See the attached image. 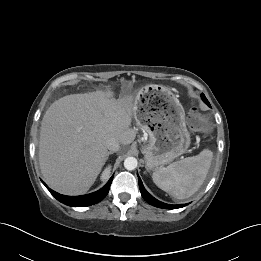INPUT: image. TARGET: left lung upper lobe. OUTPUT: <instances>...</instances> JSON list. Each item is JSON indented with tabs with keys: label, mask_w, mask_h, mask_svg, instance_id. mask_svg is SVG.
Masks as SVG:
<instances>
[{
	"label": "left lung upper lobe",
	"mask_w": 261,
	"mask_h": 261,
	"mask_svg": "<svg viewBox=\"0 0 261 261\" xmlns=\"http://www.w3.org/2000/svg\"><path fill=\"white\" fill-rule=\"evenodd\" d=\"M201 97H202L203 101H204L207 105L210 106L208 100L206 99V97H205V95H204L203 93L201 94Z\"/></svg>",
	"instance_id": "1"
}]
</instances>
